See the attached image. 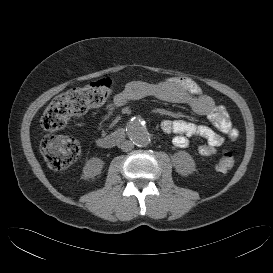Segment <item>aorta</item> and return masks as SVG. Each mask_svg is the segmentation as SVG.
Here are the masks:
<instances>
[{"mask_svg":"<svg viewBox=\"0 0 273 273\" xmlns=\"http://www.w3.org/2000/svg\"><path fill=\"white\" fill-rule=\"evenodd\" d=\"M128 133L136 146L144 147L151 141L150 133L145 124L139 119H134L130 122Z\"/></svg>","mask_w":273,"mask_h":273,"instance_id":"762f6f07","label":"aorta"}]
</instances>
